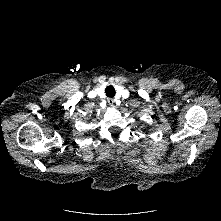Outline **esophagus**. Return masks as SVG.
I'll return each instance as SVG.
<instances>
[{"instance_id": "1", "label": "esophagus", "mask_w": 221, "mask_h": 221, "mask_svg": "<svg viewBox=\"0 0 221 221\" xmlns=\"http://www.w3.org/2000/svg\"><path fill=\"white\" fill-rule=\"evenodd\" d=\"M107 102H108L109 105H113L115 100L113 98H108Z\"/></svg>"}]
</instances>
